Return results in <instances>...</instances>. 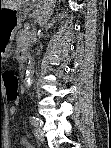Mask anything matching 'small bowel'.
Here are the masks:
<instances>
[{"instance_id":"c3829d8e","label":"small bowel","mask_w":111,"mask_h":148,"mask_svg":"<svg viewBox=\"0 0 111 148\" xmlns=\"http://www.w3.org/2000/svg\"><path fill=\"white\" fill-rule=\"evenodd\" d=\"M9 113H10L11 115H14V114H15V107H11V108L9 109ZM22 144H23V146L26 147V148H32V146H31L25 139H22ZM5 147L8 148V147H9L8 144H6Z\"/></svg>"}]
</instances>
